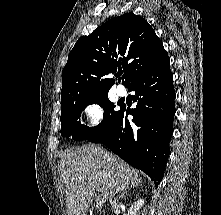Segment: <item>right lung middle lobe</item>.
<instances>
[{
    "label": "right lung middle lobe",
    "mask_w": 221,
    "mask_h": 215,
    "mask_svg": "<svg viewBox=\"0 0 221 215\" xmlns=\"http://www.w3.org/2000/svg\"><path fill=\"white\" fill-rule=\"evenodd\" d=\"M90 104H98L104 109L103 121L95 127H87L79 121L81 112ZM115 105L108 99L107 94L76 101L62 105L61 107V135L70 137L76 141H82L98 135L109 128L120 113L114 110Z\"/></svg>",
    "instance_id": "1"
}]
</instances>
